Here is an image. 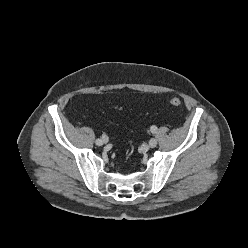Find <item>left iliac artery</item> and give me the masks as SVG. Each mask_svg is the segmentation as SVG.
I'll return each mask as SVG.
<instances>
[{
	"mask_svg": "<svg viewBox=\"0 0 248 248\" xmlns=\"http://www.w3.org/2000/svg\"><path fill=\"white\" fill-rule=\"evenodd\" d=\"M150 130H151L152 133H156L157 132V127L153 125V126H151Z\"/></svg>",
	"mask_w": 248,
	"mask_h": 248,
	"instance_id": "44dca946",
	"label": "left iliac artery"
}]
</instances>
